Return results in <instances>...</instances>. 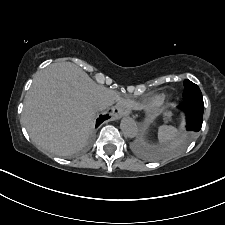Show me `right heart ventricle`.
Segmentation results:
<instances>
[{
    "label": "right heart ventricle",
    "instance_id": "right-heart-ventricle-1",
    "mask_svg": "<svg viewBox=\"0 0 225 225\" xmlns=\"http://www.w3.org/2000/svg\"><path fill=\"white\" fill-rule=\"evenodd\" d=\"M162 97L161 96H155L154 98H153V102H155V103H159V102H161L162 101Z\"/></svg>",
    "mask_w": 225,
    "mask_h": 225
}]
</instances>
